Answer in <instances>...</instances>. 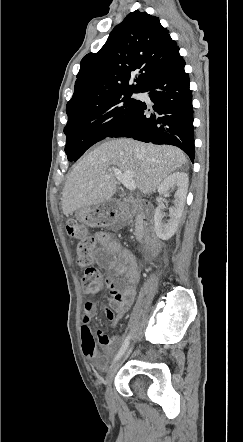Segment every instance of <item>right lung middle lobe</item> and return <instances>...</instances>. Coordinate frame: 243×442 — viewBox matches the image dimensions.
<instances>
[{"instance_id":"obj_1","label":"right lung middle lobe","mask_w":243,"mask_h":442,"mask_svg":"<svg viewBox=\"0 0 243 442\" xmlns=\"http://www.w3.org/2000/svg\"><path fill=\"white\" fill-rule=\"evenodd\" d=\"M130 91L115 95L99 105L68 118L64 128L65 152L69 161L78 160L93 144L106 138L134 112L137 101Z\"/></svg>"}]
</instances>
